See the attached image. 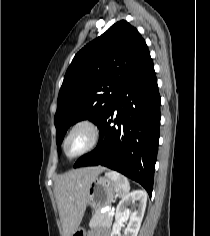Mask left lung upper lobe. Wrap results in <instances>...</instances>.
<instances>
[{"mask_svg": "<svg viewBox=\"0 0 210 236\" xmlns=\"http://www.w3.org/2000/svg\"><path fill=\"white\" fill-rule=\"evenodd\" d=\"M151 60L145 40L124 20L84 46L67 69L58 96V152L72 124L89 119L99 127L119 92Z\"/></svg>", "mask_w": 210, "mask_h": 236, "instance_id": "1", "label": "left lung upper lobe"}]
</instances>
